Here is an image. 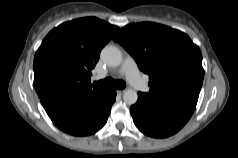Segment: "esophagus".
<instances>
[{
    "instance_id": "1",
    "label": "esophagus",
    "mask_w": 238,
    "mask_h": 158,
    "mask_svg": "<svg viewBox=\"0 0 238 158\" xmlns=\"http://www.w3.org/2000/svg\"><path fill=\"white\" fill-rule=\"evenodd\" d=\"M125 92V90H117V94L122 95Z\"/></svg>"
}]
</instances>
